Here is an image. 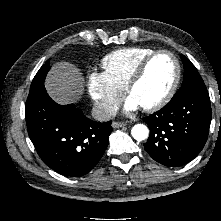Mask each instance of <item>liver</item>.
<instances>
[{"label":"liver","mask_w":221,"mask_h":221,"mask_svg":"<svg viewBox=\"0 0 221 221\" xmlns=\"http://www.w3.org/2000/svg\"><path fill=\"white\" fill-rule=\"evenodd\" d=\"M83 84L81 71L73 64L61 62L51 68L45 88L56 103L67 105L81 97L84 91Z\"/></svg>","instance_id":"6515ba94"}]
</instances>
